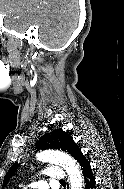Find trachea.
<instances>
[{"label":"trachea","instance_id":"1","mask_svg":"<svg viewBox=\"0 0 124 189\" xmlns=\"http://www.w3.org/2000/svg\"><path fill=\"white\" fill-rule=\"evenodd\" d=\"M60 182H65L64 180H60Z\"/></svg>","mask_w":124,"mask_h":189}]
</instances>
